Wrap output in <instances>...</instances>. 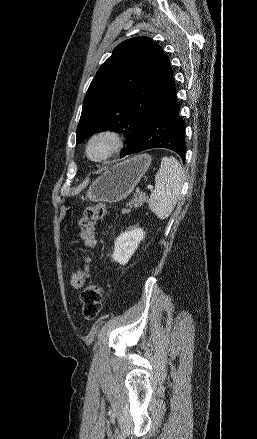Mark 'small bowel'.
I'll list each match as a JSON object with an SVG mask.
<instances>
[{
	"mask_svg": "<svg viewBox=\"0 0 257 439\" xmlns=\"http://www.w3.org/2000/svg\"><path fill=\"white\" fill-rule=\"evenodd\" d=\"M91 259L89 257H86L84 262V282L86 279H88L89 275H90V270H89V264H90Z\"/></svg>",
	"mask_w": 257,
	"mask_h": 439,
	"instance_id": "1",
	"label": "small bowel"
}]
</instances>
